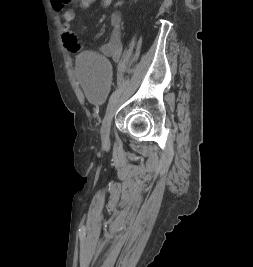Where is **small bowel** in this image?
Instances as JSON below:
<instances>
[{
    "mask_svg": "<svg viewBox=\"0 0 253 267\" xmlns=\"http://www.w3.org/2000/svg\"><path fill=\"white\" fill-rule=\"evenodd\" d=\"M98 0H51L57 15L62 19V41L66 48L71 51H79L80 44L72 32L71 23L76 15V8L88 10ZM103 7L110 5L119 6L122 0H101ZM111 33L108 41L101 45L98 50L101 54L118 61L122 55V15L114 11L110 15Z\"/></svg>",
    "mask_w": 253,
    "mask_h": 267,
    "instance_id": "c3829d8e",
    "label": "small bowel"
}]
</instances>
